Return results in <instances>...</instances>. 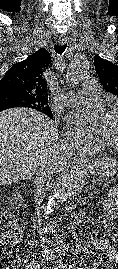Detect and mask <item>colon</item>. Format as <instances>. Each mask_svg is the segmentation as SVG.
<instances>
[{
	"label": "colon",
	"mask_w": 118,
	"mask_h": 269,
	"mask_svg": "<svg viewBox=\"0 0 118 269\" xmlns=\"http://www.w3.org/2000/svg\"><path fill=\"white\" fill-rule=\"evenodd\" d=\"M0 221H6L5 240L4 243H8L9 239L13 238L18 232V224L13 220L8 210L2 203H0Z\"/></svg>",
	"instance_id": "colon-1"
}]
</instances>
